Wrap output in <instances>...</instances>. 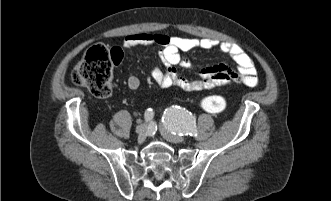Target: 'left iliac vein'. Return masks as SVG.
I'll return each instance as SVG.
<instances>
[{"label":"left iliac vein","mask_w":331,"mask_h":201,"mask_svg":"<svg viewBox=\"0 0 331 201\" xmlns=\"http://www.w3.org/2000/svg\"><path fill=\"white\" fill-rule=\"evenodd\" d=\"M161 134L169 142L180 143V142H183L185 140V138L183 136L173 134V133L168 132L166 130H162Z\"/></svg>","instance_id":"left-iliac-vein-1"}]
</instances>
